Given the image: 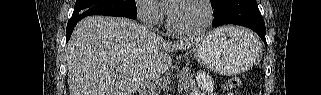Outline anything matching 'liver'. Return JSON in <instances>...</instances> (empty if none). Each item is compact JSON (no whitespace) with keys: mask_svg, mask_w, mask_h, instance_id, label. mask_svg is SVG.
Listing matches in <instances>:
<instances>
[{"mask_svg":"<svg viewBox=\"0 0 321 95\" xmlns=\"http://www.w3.org/2000/svg\"><path fill=\"white\" fill-rule=\"evenodd\" d=\"M197 43H169L127 18L86 17L66 47L70 95H134L143 81L169 70L172 52Z\"/></svg>","mask_w":321,"mask_h":95,"instance_id":"obj_1","label":"liver"}]
</instances>
